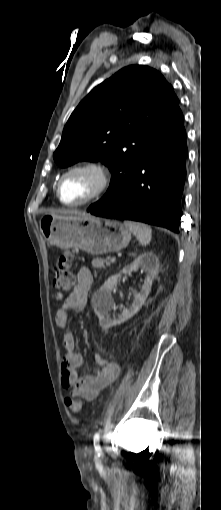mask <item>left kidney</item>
I'll return each instance as SVG.
<instances>
[{"label":"left kidney","mask_w":221,"mask_h":510,"mask_svg":"<svg viewBox=\"0 0 221 510\" xmlns=\"http://www.w3.org/2000/svg\"><path fill=\"white\" fill-rule=\"evenodd\" d=\"M137 268H141L147 273L141 291L134 294L133 304L128 309H123L122 313L116 319H110L108 313L114 306L111 291L115 287L121 274L130 273ZM158 268L159 260L152 252L142 253L131 264L126 265L118 274L109 277L103 286L94 293L91 302L94 312L99 318L102 329L106 330L124 323L141 309L150 293L152 282L157 275Z\"/></svg>","instance_id":"1"}]
</instances>
